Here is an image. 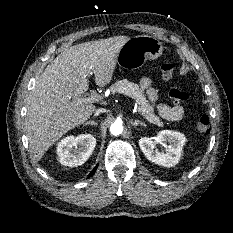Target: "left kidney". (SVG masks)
<instances>
[{
  "instance_id": "1",
  "label": "left kidney",
  "mask_w": 233,
  "mask_h": 233,
  "mask_svg": "<svg viewBox=\"0 0 233 233\" xmlns=\"http://www.w3.org/2000/svg\"><path fill=\"white\" fill-rule=\"evenodd\" d=\"M168 142L166 153H161L155 149L156 143ZM186 137L184 134L162 130L156 137H143L139 140V146L146 158L160 166L172 167L176 165L181 158L183 146L185 145Z\"/></svg>"
}]
</instances>
